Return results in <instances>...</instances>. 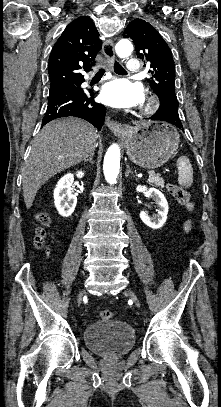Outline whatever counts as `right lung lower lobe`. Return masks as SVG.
<instances>
[{
    "label": "right lung lower lobe",
    "instance_id": "right-lung-lower-lobe-1",
    "mask_svg": "<svg viewBox=\"0 0 221 407\" xmlns=\"http://www.w3.org/2000/svg\"><path fill=\"white\" fill-rule=\"evenodd\" d=\"M85 80L50 90L46 114L42 126L56 118L75 116L87 120L98 130L101 129L106 110L93 100V92L83 90L80 85Z\"/></svg>",
    "mask_w": 221,
    "mask_h": 407
}]
</instances>
